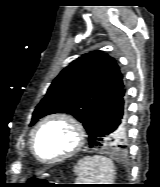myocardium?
<instances>
[{"label": "myocardium", "mask_w": 160, "mask_h": 187, "mask_svg": "<svg viewBox=\"0 0 160 187\" xmlns=\"http://www.w3.org/2000/svg\"><path fill=\"white\" fill-rule=\"evenodd\" d=\"M53 121H61L66 123L67 125H69L75 136H76V142L75 145L66 153L53 158V159H44L42 158L36 150V139L37 136L39 134V132L41 131V129L48 123L53 122ZM86 130L85 127L83 126V124L81 123L80 120H78L76 117H74L71 114L68 113H54V114H50L46 117H44L43 119H41L38 124L35 126L32 135H31V140H30V146H31V151L33 153V155L35 156V158L40 161L41 163L44 164H54L60 161H63L67 158L72 157L73 155H75L76 153H78L82 147L85 144L86 141Z\"/></svg>", "instance_id": "myocardium-1"}]
</instances>
